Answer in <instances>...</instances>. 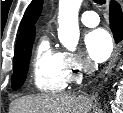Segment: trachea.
Segmentation results:
<instances>
[{"instance_id": "3493384b", "label": "trachea", "mask_w": 123, "mask_h": 113, "mask_svg": "<svg viewBox=\"0 0 123 113\" xmlns=\"http://www.w3.org/2000/svg\"><path fill=\"white\" fill-rule=\"evenodd\" d=\"M94 2L98 5H104L106 3V0H94Z\"/></svg>"}]
</instances>
